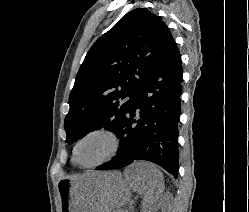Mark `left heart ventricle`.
<instances>
[{"instance_id":"obj_1","label":"left heart ventricle","mask_w":249,"mask_h":212,"mask_svg":"<svg viewBox=\"0 0 249 212\" xmlns=\"http://www.w3.org/2000/svg\"><path fill=\"white\" fill-rule=\"evenodd\" d=\"M112 140L105 135H95L87 138L80 145L77 161L80 164H94L105 158L112 150Z\"/></svg>"}]
</instances>
